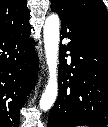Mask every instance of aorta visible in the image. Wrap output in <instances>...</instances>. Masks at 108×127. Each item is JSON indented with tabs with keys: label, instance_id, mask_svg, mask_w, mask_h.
Listing matches in <instances>:
<instances>
[{
	"label": "aorta",
	"instance_id": "762f6f07",
	"mask_svg": "<svg viewBox=\"0 0 108 127\" xmlns=\"http://www.w3.org/2000/svg\"><path fill=\"white\" fill-rule=\"evenodd\" d=\"M44 48L47 65L49 68V79L45 91L40 100V109L49 110L57 97V65L60 39V19L57 14H51L46 18L44 24Z\"/></svg>",
	"mask_w": 108,
	"mask_h": 127
}]
</instances>
